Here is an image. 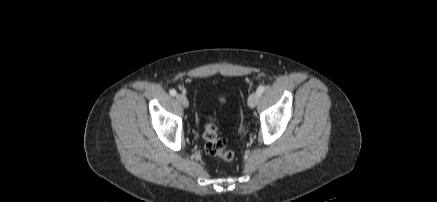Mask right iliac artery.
Listing matches in <instances>:
<instances>
[{
	"label": "right iliac artery",
	"mask_w": 437,
	"mask_h": 202,
	"mask_svg": "<svg viewBox=\"0 0 437 202\" xmlns=\"http://www.w3.org/2000/svg\"><path fill=\"white\" fill-rule=\"evenodd\" d=\"M176 94H177L176 90H174V89L170 90V95L171 96H175Z\"/></svg>",
	"instance_id": "obj_1"
}]
</instances>
